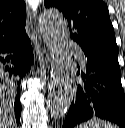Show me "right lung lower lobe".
<instances>
[{
	"instance_id": "1",
	"label": "right lung lower lobe",
	"mask_w": 125,
	"mask_h": 128,
	"mask_svg": "<svg viewBox=\"0 0 125 128\" xmlns=\"http://www.w3.org/2000/svg\"><path fill=\"white\" fill-rule=\"evenodd\" d=\"M33 62V50L26 33L0 44V71L14 78L9 85L16 89L14 111L17 125L20 122L21 105L19 101L20 82Z\"/></svg>"
}]
</instances>
